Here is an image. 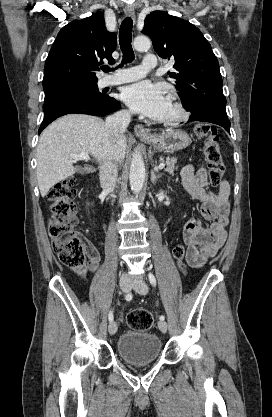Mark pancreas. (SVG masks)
Instances as JSON below:
<instances>
[{"mask_svg": "<svg viewBox=\"0 0 272 417\" xmlns=\"http://www.w3.org/2000/svg\"><path fill=\"white\" fill-rule=\"evenodd\" d=\"M160 161L163 162L164 161V158L161 157L160 158ZM165 163L167 165L165 171L168 172L169 174H173V172H174V170L176 168L177 160L175 158H169V157H167L166 160H165Z\"/></svg>", "mask_w": 272, "mask_h": 417, "instance_id": "cf45deb5", "label": "pancreas"}]
</instances>
